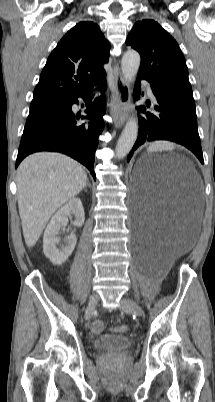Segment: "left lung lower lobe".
Returning <instances> with one entry per match:
<instances>
[{"instance_id":"obj_1","label":"left lung lower lobe","mask_w":215,"mask_h":402,"mask_svg":"<svg viewBox=\"0 0 215 402\" xmlns=\"http://www.w3.org/2000/svg\"><path fill=\"white\" fill-rule=\"evenodd\" d=\"M141 79L147 80L141 76L137 77L134 91L136 99L140 98ZM151 89L156 98V104L152 107V112L146 111V107L143 105L139 106L138 138L127 161L129 162L133 152L142 144L154 140H169L191 150L203 164L195 106L167 95L153 84H151ZM146 105L149 107L150 103L147 102Z\"/></svg>"}]
</instances>
